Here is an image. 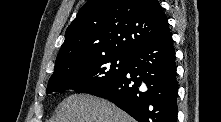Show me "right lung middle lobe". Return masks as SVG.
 Returning a JSON list of instances; mask_svg holds the SVG:
<instances>
[{
  "label": "right lung middle lobe",
  "mask_w": 221,
  "mask_h": 122,
  "mask_svg": "<svg viewBox=\"0 0 221 122\" xmlns=\"http://www.w3.org/2000/svg\"><path fill=\"white\" fill-rule=\"evenodd\" d=\"M130 56L106 55L74 65L51 76L47 93L74 90L89 93L109 85L127 68Z\"/></svg>",
  "instance_id": "obj_1"
}]
</instances>
